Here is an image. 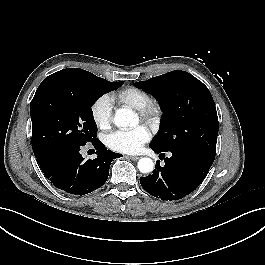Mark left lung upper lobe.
<instances>
[{
	"label": "left lung upper lobe",
	"instance_id": "5c2ea615",
	"mask_svg": "<svg viewBox=\"0 0 265 265\" xmlns=\"http://www.w3.org/2000/svg\"><path fill=\"white\" fill-rule=\"evenodd\" d=\"M134 85L152 94L164 112L150 148L190 149L215 159L218 116L212 95L201 81L185 71H171Z\"/></svg>",
	"mask_w": 265,
	"mask_h": 265
}]
</instances>
